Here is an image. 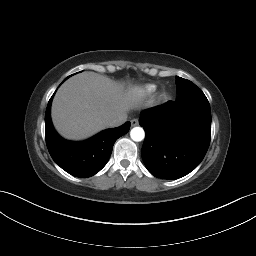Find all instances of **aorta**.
<instances>
[{
  "mask_svg": "<svg viewBox=\"0 0 256 256\" xmlns=\"http://www.w3.org/2000/svg\"><path fill=\"white\" fill-rule=\"evenodd\" d=\"M131 139L133 141H142L145 137V132L142 127H134L130 132Z\"/></svg>",
  "mask_w": 256,
  "mask_h": 256,
  "instance_id": "1",
  "label": "aorta"
}]
</instances>
